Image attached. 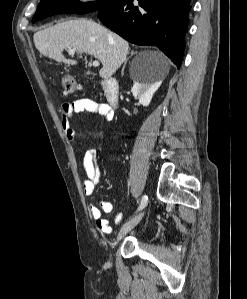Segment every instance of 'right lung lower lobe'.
Segmentation results:
<instances>
[{"mask_svg": "<svg viewBox=\"0 0 247 299\" xmlns=\"http://www.w3.org/2000/svg\"><path fill=\"white\" fill-rule=\"evenodd\" d=\"M119 0L101 8L99 19L137 45H151L180 66L185 48L191 0Z\"/></svg>", "mask_w": 247, "mask_h": 299, "instance_id": "98d812e1", "label": "right lung lower lobe"}]
</instances>
